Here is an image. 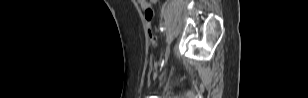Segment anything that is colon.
I'll list each match as a JSON object with an SVG mask.
<instances>
[{
	"label": "colon",
	"instance_id": "colon-1",
	"mask_svg": "<svg viewBox=\"0 0 308 98\" xmlns=\"http://www.w3.org/2000/svg\"><path fill=\"white\" fill-rule=\"evenodd\" d=\"M153 15H154L153 10L150 9V8L146 9L145 12H144L146 29H147L149 41H150L152 46H155L156 42H157V38H156V35L154 33V30H153V26H152Z\"/></svg>",
	"mask_w": 308,
	"mask_h": 98
}]
</instances>
